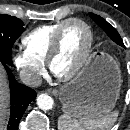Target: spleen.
<instances>
[{
	"mask_svg": "<svg viewBox=\"0 0 130 130\" xmlns=\"http://www.w3.org/2000/svg\"><path fill=\"white\" fill-rule=\"evenodd\" d=\"M117 118V110L98 119L84 118L79 121L63 114L58 119V130H110Z\"/></svg>",
	"mask_w": 130,
	"mask_h": 130,
	"instance_id": "spleen-1",
	"label": "spleen"
}]
</instances>
